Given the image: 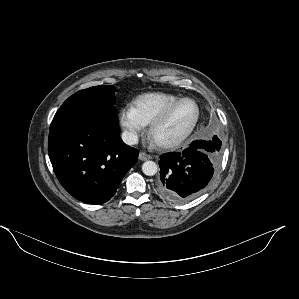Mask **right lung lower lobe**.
I'll return each instance as SVG.
<instances>
[{
	"mask_svg": "<svg viewBox=\"0 0 299 299\" xmlns=\"http://www.w3.org/2000/svg\"><path fill=\"white\" fill-rule=\"evenodd\" d=\"M48 153L64 189L89 204L108 201L138 158L120 138L117 122L76 119L50 130Z\"/></svg>",
	"mask_w": 299,
	"mask_h": 299,
	"instance_id": "right-lung-lower-lobe-1",
	"label": "right lung lower lobe"
}]
</instances>
